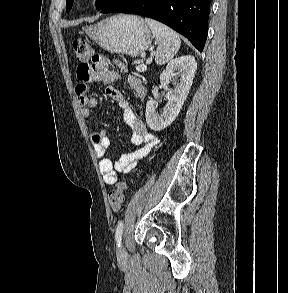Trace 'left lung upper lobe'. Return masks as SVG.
<instances>
[{
  "instance_id": "5c2ea615",
  "label": "left lung upper lobe",
  "mask_w": 288,
  "mask_h": 293,
  "mask_svg": "<svg viewBox=\"0 0 288 293\" xmlns=\"http://www.w3.org/2000/svg\"><path fill=\"white\" fill-rule=\"evenodd\" d=\"M73 1L74 0H66V11L67 12L70 11ZM114 1H116V0H96L95 5L98 10H102V9L108 7Z\"/></svg>"
}]
</instances>
